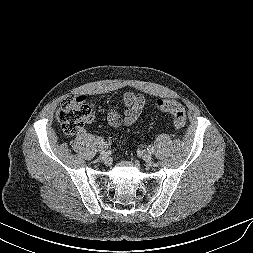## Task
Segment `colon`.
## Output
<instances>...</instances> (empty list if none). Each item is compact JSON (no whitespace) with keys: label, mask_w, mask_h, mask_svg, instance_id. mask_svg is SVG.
<instances>
[{"label":"colon","mask_w":253,"mask_h":253,"mask_svg":"<svg viewBox=\"0 0 253 253\" xmlns=\"http://www.w3.org/2000/svg\"><path fill=\"white\" fill-rule=\"evenodd\" d=\"M158 109L163 113L171 114L174 124L181 128L186 123L185 107L174 99H160ZM56 118L66 134L74 135L81 131L83 125L92 121L93 112L84 97L69 96L63 99L57 110Z\"/></svg>","instance_id":"5ec220e1"}]
</instances>
